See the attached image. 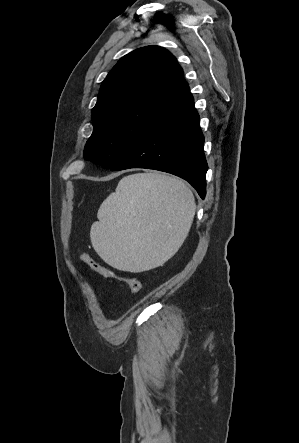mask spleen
<instances>
[{
	"label": "spleen",
	"mask_w": 299,
	"mask_h": 443,
	"mask_svg": "<svg viewBox=\"0 0 299 443\" xmlns=\"http://www.w3.org/2000/svg\"><path fill=\"white\" fill-rule=\"evenodd\" d=\"M192 191L181 180L139 173L120 180L98 210L91 243L110 266L129 272L153 269L183 244L195 215Z\"/></svg>",
	"instance_id": "1"
}]
</instances>
